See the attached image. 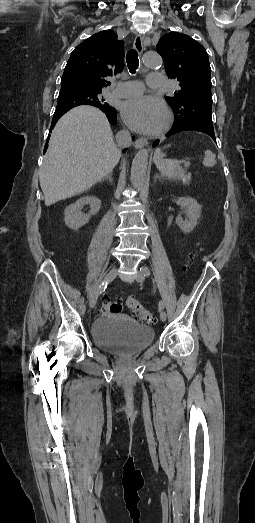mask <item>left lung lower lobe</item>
Wrapping results in <instances>:
<instances>
[{
  "label": "left lung lower lobe",
  "mask_w": 255,
  "mask_h": 523,
  "mask_svg": "<svg viewBox=\"0 0 255 523\" xmlns=\"http://www.w3.org/2000/svg\"><path fill=\"white\" fill-rule=\"evenodd\" d=\"M180 129H194L197 130V132H206V130H202V127H187V125H182V127L170 128L167 131V136L172 137L173 135L177 134V131H179ZM210 140H217V137H210ZM154 145H159V140H154Z\"/></svg>",
  "instance_id": "1"
}]
</instances>
